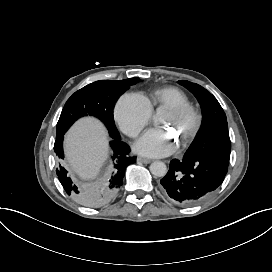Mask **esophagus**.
I'll use <instances>...</instances> for the list:
<instances>
[{"instance_id": "obj_1", "label": "esophagus", "mask_w": 272, "mask_h": 272, "mask_svg": "<svg viewBox=\"0 0 272 272\" xmlns=\"http://www.w3.org/2000/svg\"><path fill=\"white\" fill-rule=\"evenodd\" d=\"M137 161L143 163V164H149L151 160L149 158L143 157V156H138Z\"/></svg>"}]
</instances>
